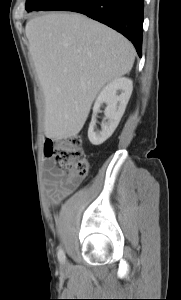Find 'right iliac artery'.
Returning <instances> with one entry per match:
<instances>
[{
    "mask_svg": "<svg viewBox=\"0 0 181 300\" xmlns=\"http://www.w3.org/2000/svg\"><path fill=\"white\" fill-rule=\"evenodd\" d=\"M65 254H64V251L62 248L59 249L58 251V259L61 263H64L65 262Z\"/></svg>",
    "mask_w": 181,
    "mask_h": 300,
    "instance_id": "1",
    "label": "right iliac artery"
}]
</instances>
